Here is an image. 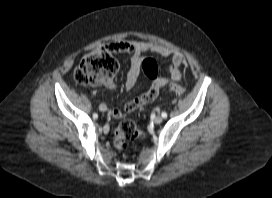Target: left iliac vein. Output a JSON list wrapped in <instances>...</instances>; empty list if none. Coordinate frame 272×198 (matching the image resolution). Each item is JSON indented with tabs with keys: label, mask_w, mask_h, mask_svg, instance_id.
I'll return each mask as SVG.
<instances>
[{
	"label": "left iliac vein",
	"mask_w": 272,
	"mask_h": 198,
	"mask_svg": "<svg viewBox=\"0 0 272 198\" xmlns=\"http://www.w3.org/2000/svg\"><path fill=\"white\" fill-rule=\"evenodd\" d=\"M162 121H163V117L160 116V115L156 116V117L153 119V122H154L155 124H160Z\"/></svg>",
	"instance_id": "1"
}]
</instances>
